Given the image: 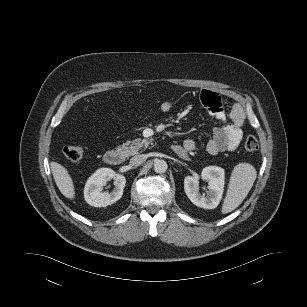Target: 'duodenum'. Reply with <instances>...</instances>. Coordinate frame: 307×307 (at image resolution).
Instances as JSON below:
<instances>
[{
  "mask_svg": "<svg viewBox=\"0 0 307 307\" xmlns=\"http://www.w3.org/2000/svg\"><path fill=\"white\" fill-rule=\"evenodd\" d=\"M103 159L106 164L111 166H117L122 163L123 155L118 150L110 149L105 152Z\"/></svg>",
  "mask_w": 307,
  "mask_h": 307,
  "instance_id": "duodenum-1",
  "label": "duodenum"
}]
</instances>
